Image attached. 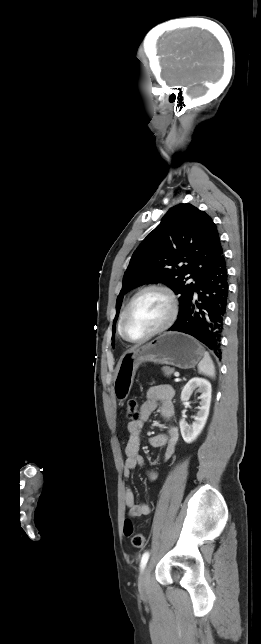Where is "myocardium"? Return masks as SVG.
Returning <instances> with one entry per match:
<instances>
[{"mask_svg": "<svg viewBox=\"0 0 261 644\" xmlns=\"http://www.w3.org/2000/svg\"><path fill=\"white\" fill-rule=\"evenodd\" d=\"M151 290L160 291L167 297V299L169 301V306H170V312H169L168 318L166 319V321L160 327H158L157 329H155L151 333L147 334L146 336L141 337V338H132V337L129 336V334L127 332V319H128L130 310H131L134 302L136 301V299L140 295H142L143 293H145L147 291H151ZM178 313H179L178 299L176 297V294L174 293V291L170 287H168V286H166L164 284H159V283L146 285V286L142 287L141 289H139L132 296V298L129 300L128 304L126 305V307H125V309L123 311L122 317H121V322H120L121 335L126 341H128L130 343H143V342L148 341L151 338H153V337L165 332L170 327H172V325L175 323V321H176V319L178 317Z\"/></svg>", "mask_w": 261, "mask_h": 644, "instance_id": "f54148a6", "label": "myocardium"}]
</instances>
